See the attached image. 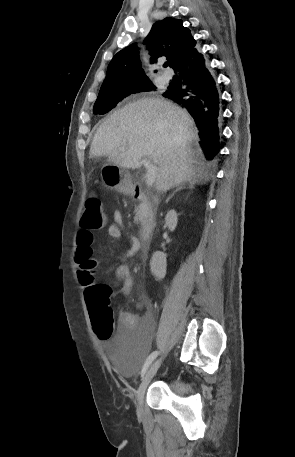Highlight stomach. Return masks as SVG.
<instances>
[{"instance_id":"stomach-1","label":"stomach","mask_w":295,"mask_h":457,"mask_svg":"<svg viewBox=\"0 0 295 457\" xmlns=\"http://www.w3.org/2000/svg\"><path fill=\"white\" fill-rule=\"evenodd\" d=\"M101 178L104 185L109 189L117 190L124 194L132 192V182L128 172L113 163L105 164L101 169Z\"/></svg>"}]
</instances>
